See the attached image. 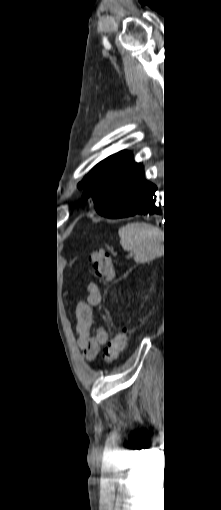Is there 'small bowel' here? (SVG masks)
Listing matches in <instances>:
<instances>
[{"instance_id": "obj_1", "label": "small bowel", "mask_w": 221, "mask_h": 510, "mask_svg": "<svg viewBox=\"0 0 221 510\" xmlns=\"http://www.w3.org/2000/svg\"><path fill=\"white\" fill-rule=\"evenodd\" d=\"M100 301V288L97 284L90 283L87 287V302H80L76 308L78 345L88 361L95 359L100 346L105 345L109 338L107 330L102 326H98L94 336H91V329L95 323L93 308L98 306Z\"/></svg>"}]
</instances>
